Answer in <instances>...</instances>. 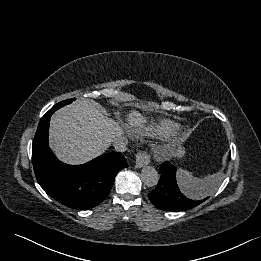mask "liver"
I'll return each instance as SVG.
<instances>
[{
    "label": "liver",
    "instance_id": "6515ba94",
    "mask_svg": "<svg viewBox=\"0 0 261 261\" xmlns=\"http://www.w3.org/2000/svg\"><path fill=\"white\" fill-rule=\"evenodd\" d=\"M126 117L129 127H141L147 122L136 110ZM122 135L119 123L106 117L97 102L85 98L59 109L50 121V146L58 159L71 165L98 157Z\"/></svg>",
    "mask_w": 261,
    "mask_h": 261
}]
</instances>
